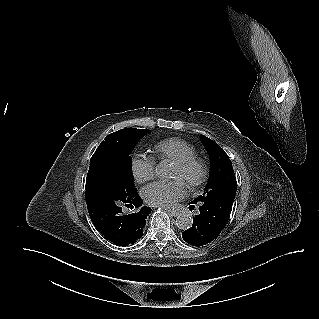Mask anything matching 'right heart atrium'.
<instances>
[{"mask_svg":"<svg viewBox=\"0 0 319 319\" xmlns=\"http://www.w3.org/2000/svg\"><path fill=\"white\" fill-rule=\"evenodd\" d=\"M131 171L138 183L151 180L155 174V160L153 157L136 153L131 159Z\"/></svg>","mask_w":319,"mask_h":319,"instance_id":"d8ad5b80","label":"right heart atrium"}]
</instances>
